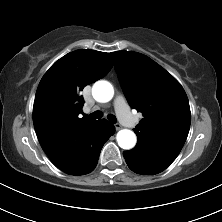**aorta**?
<instances>
[{"instance_id": "1", "label": "aorta", "mask_w": 222, "mask_h": 222, "mask_svg": "<svg viewBox=\"0 0 222 222\" xmlns=\"http://www.w3.org/2000/svg\"><path fill=\"white\" fill-rule=\"evenodd\" d=\"M92 95L98 102H108L113 98V86L107 81H97L92 87ZM118 145L123 149H131L136 144V135L133 131L128 129L120 130L117 133Z\"/></svg>"}]
</instances>
